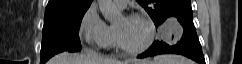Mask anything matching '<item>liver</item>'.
Returning <instances> with one entry per match:
<instances>
[{
	"label": "liver",
	"instance_id": "liver-1",
	"mask_svg": "<svg viewBox=\"0 0 242 64\" xmlns=\"http://www.w3.org/2000/svg\"><path fill=\"white\" fill-rule=\"evenodd\" d=\"M151 60H125L118 61L114 59L100 57L96 54L75 55L61 53L48 61V64H148Z\"/></svg>",
	"mask_w": 242,
	"mask_h": 64
}]
</instances>
